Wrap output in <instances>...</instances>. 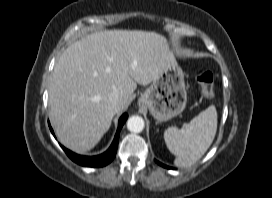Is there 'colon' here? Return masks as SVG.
Segmentation results:
<instances>
[{"label":"colon","instance_id":"colon-1","mask_svg":"<svg viewBox=\"0 0 272 198\" xmlns=\"http://www.w3.org/2000/svg\"><path fill=\"white\" fill-rule=\"evenodd\" d=\"M195 77L199 85L201 86L202 95L205 99H212L214 97V76L211 72L198 69L195 73Z\"/></svg>","mask_w":272,"mask_h":198}]
</instances>
